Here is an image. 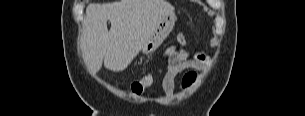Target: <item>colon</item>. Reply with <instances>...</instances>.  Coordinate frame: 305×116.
Here are the masks:
<instances>
[{"instance_id": "1", "label": "colon", "mask_w": 305, "mask_h": 116, "mask_svg": "<svg viewBox=\"0 0 305 116\" xmlns=\"http://www.w3.org/2000/svg\"><path fill=\"white\" fill-rule=\"evenodd\" d=\"M177 39L180 44L186 43V37L182 33H180L178 35ZM185 76L187 78H192L194 76V73L189 72ZM153 82H154L153 74L148 73V74L144 75L143 77H141L140 79L133 81L130 86V91L134 97L139 98L153 84Z\"/></svg>"}]
</instances>
